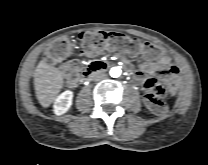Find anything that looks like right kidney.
Instances as JSON below:
<instances>
[{"mask_svg": "<svg viewBox=\"0 0 208 165\" xmlns=\"http://www.w3.org/2000/svg\"><path fill=\"white\" fill-rule=\"evenodd\" d=\"M72 99H73V92L70 90H67L63 93H61L54 102V113L56 115H62L66 113L69 108L72 105Z\"/></svg>", "mask_w": 208, "mask_h": 165, "instance_id": "right-kidney-1", "label": "right kidney"}]
</instances>
